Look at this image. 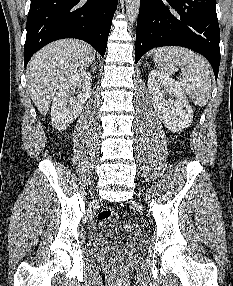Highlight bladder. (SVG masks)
Returning a JSON list of instances; mask_svg holds the SVG:
<instances>
[{
    "label": "bladder",
    "mask_w": 233,
    "mask_h": 286,
    "mask_svg": "<svg viewBox=\"0 0 233 286\" xmlns=\"http://www.w3.org/2000/svg\"><path fill=\"white\" fill-rule=\"evenodd\" d=\"M141 233L130 224L117 220L101 221L95 229L93 244L95 246L108 243H122L131 249L140 247Z\"/></svg>",
    "instance_id": "obj_1"
}]
</instances>
